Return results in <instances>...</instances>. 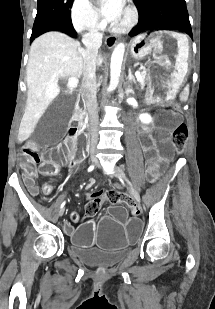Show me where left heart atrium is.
<instances>
[{"instance_id": "obj_1", "label": "left heart atrium", "mask_w": 215, "mask_h": 309, "mask_svg": "<svg viewBox=\"0 0 215 309\" xmlns=\"http://www.w3.org/2000/svg\"><path fill=\"white\" fill-rule=\"evenodd\" d=\"M102 7H107L101 10V17L105 24L109 20H121L124 16V0H100Z\"/></svg>"}]
</instances>
